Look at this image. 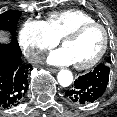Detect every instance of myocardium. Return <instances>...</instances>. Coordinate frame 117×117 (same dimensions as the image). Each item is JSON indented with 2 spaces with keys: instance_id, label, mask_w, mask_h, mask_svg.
Masks as SVG:
<instances>
[{
  "instance_id": "obj_1",
  "label": "myocardium",
  "mask_w": 117,
  "mask_h": 117,
  "mask_svg": "<svg viewBox=\"0 0 117 117\" xmlns=\"http://www.w3.org/2000/svg\"><path fill=\"white\" fill-rule=\"evenodd\" d=\"M94 27L99 28L103 32V35H104L103 45H102L101 49L99 50V52L96 54V56L93 59H91L89 62L84 63V64L75 63L74 65L77 69L87 70V69L94 67L97 63L100 62V60L104 57V55L108 49V46H109V42H110L109 32L104 25H102L98 22H91V23L82 24V25L74 28L70 32L66 33L63 37H61V44L64 45V43L67 40L76 39L81 34H83L85 31H87L90 28H94Z\"/></svg>"
}]
</instances>
